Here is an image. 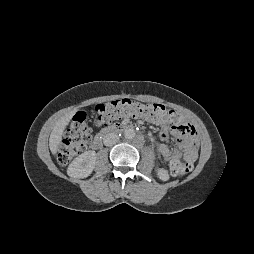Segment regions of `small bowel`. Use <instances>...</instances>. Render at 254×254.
Listing matches in <instances>:
<instances>
[{
  "label": "small bowel",
  "instance_id": "c3829d8e",
  "mask_svg": "<svg viewBox=\"0 0 254 254\" xmlns=\"http://www.w3.org/2000/svg\"><path fill=\"white\" fill-rule=\"evenodd\" d=\"M161 127L162 143L158 151L166 161H173L183 155L184 159L193 163L197 159L198 144L195 127L182 115L175 113L174 121L156 122ZM170 136L177 138L179 150L173 151L168 146Z\"/></svg>",
  "mask_w": 254,
  "mask_h": 254
}]
</instances>
